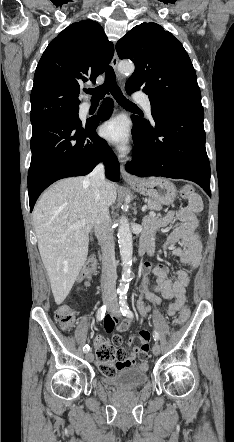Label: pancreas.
Here are the masks:
<instances>
[{
	"label": "pancreas",
	"mask_w": 234,
	"mask_h": 442,
	"mask_svg": "<svg viewBox=\"0 0 234 442\" xmlns=\"http://www.w3.org/2000/svg\"><path fill=\"white\" fill-rule=\"evenodd\" d=\"M147 207L150 210H156V211H160L162 209V205L159 202L151 199L147 200Z\"/></svg>",
	"instance_id": "obj_1"
}]
</instances>
